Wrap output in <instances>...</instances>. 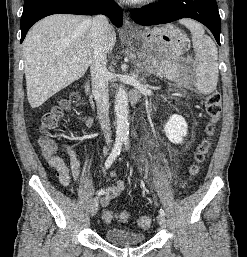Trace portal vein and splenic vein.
I'll list each match as a JSON object with an SVG mask.
<instances>
[{
    "mask_svg": "<svg viewBox=\"0 0 247 257\" xmlns=\"http://www.w3.org/2000/svg\"><path fill=\"white\" fill-rule=\"evenodd\" d=\"M73 61L75 62V61H78V59H73Z\"/></svg>",
    "mask_w": 247,
    "mask_h": 257,
    "instance_id": "1",
    "label": "portal vein and splenic vein"
}]
</instances>
